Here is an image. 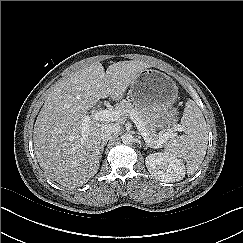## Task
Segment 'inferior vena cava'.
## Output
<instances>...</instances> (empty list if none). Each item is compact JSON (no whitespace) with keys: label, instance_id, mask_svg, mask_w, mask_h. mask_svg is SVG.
Wrapping results in <instances>:
<instances>
[{"label":"inferior vena cava","instance_id":"obj_1","mask_svg":"<svg viewBox=\"0 0 243 243\" xmlns=\"http://www.w3.org/2000/svg\"><path fill=\"white\" fill-rule=\"evenodd\" d=\"M120 126L118 124L109 123L101 127L100 139L102 142H107L108 140L115 137L120 132Z\"/></svg>","mask_w":243,"mask_h":243}]
</instances>
